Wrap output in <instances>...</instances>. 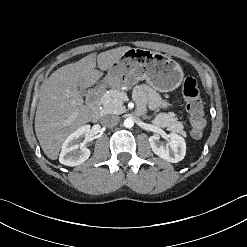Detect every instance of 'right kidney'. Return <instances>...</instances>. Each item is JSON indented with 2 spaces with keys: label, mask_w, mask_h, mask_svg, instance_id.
Instances as JSON below:
<instances>
[{
  "label": "right kidney",
  "mask_w": 247,
  "mask_h": 247,
  "mask_svg": "<svg viewBox=\"0 0 247 247\" xmlns=\"http://www.w3.org/2000/svg\"><path fill=\"white\" fill-rule=\"evenodd\" d=\"M90 126L85 125L71 133L62 145L59 161L66 166H77L90 157V150L81 145V140L87 137Z\"/></svg>",
  "instance_id": "right-kidney-1"
}]
</instances>
